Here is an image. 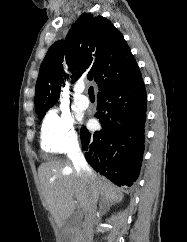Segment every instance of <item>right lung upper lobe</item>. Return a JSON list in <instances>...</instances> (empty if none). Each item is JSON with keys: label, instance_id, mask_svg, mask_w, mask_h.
<instances>
[{"label": "right lung upper lobe", "instance_id": "cb5924a9", "mask_svg": "<svg viewBox=\"0 0 187 242\" xmlns=\"http://www.w3.org/2000/svg\"><path fill=\"white\" fill-rule=\"evenodd\" d=\"M64 56L75 80L87 74L98 84L99 93L141 74L121 32L108 19L84 13L66 40L49 48L40 66L35 91L37 115L46 112L59 99Z\"/></svg>", "mask_w": 187, "mask_h": 242}]
</instances>
